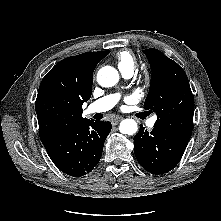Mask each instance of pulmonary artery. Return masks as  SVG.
I'll return each mask as SVG.
<instances>
[{"label": "pulmonary artery", "instance_id": "e3ab8cb5", "mask_svg": "<svg viewBox=\"0 0 221 221\" xmlns=\"http://www.w3.org/2000/svg\"><path fill=\"white\" fill-rule=\"evenodd\" d=\"M125 78H131L133 76V72H125L122 73ZM119 96L117 94H110L106 95L97 101L93 102L89 108V113H96V112H105L113 108L116 103L118 102ZM156 122V117H152L148 120L147 125L148 127H153Z\"/></svg>", "mask_w": 221, "mask_h": 221}]
</instances>
